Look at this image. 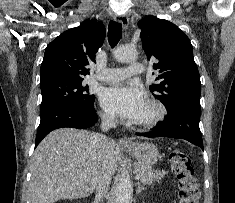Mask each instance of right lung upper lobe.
Segmentation results:
<instances>
[{
	"mask_svg": "<svg viewBox=\"0 0 235 203\" xmlns=\"http://www.w3.org/2000/svg\"><path fill=\"white\" fill-rule=\"evenodd\" d=\"M105 38L101 22L86 21L56 37L45 49L40 85L64 80H80L95 62V54Z\"/></svg>",
	"mask_w": 235,
	"mask_h": 203,
	"instance_id": "cb5924a9",
	"label": "right lung upper lobe"
}]
</instances>
